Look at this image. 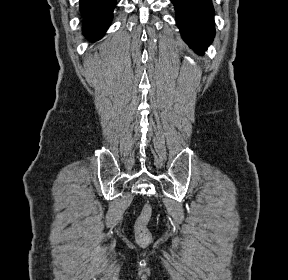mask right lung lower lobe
Returning a JSON list of instances; mask_svg holds the SVG:
<instances>
[{
  "label": "right lung lower lobe",
  "mask_w": 288,
  "mask_h": 280,
  "mask_svg": "<svg viewBox=\"0 0 288 280\" xmlns=\"http://www.w3.org/2000/svg\"><path fill=\"white\" fill-rule=\"evenodd\" d=\"M115 6L116 0H80L84 35L93 41L102 37L112 21Z\"/></svg>",
  "instance_id": "right-lung-lower-lobe-1"
}]
</instances>
